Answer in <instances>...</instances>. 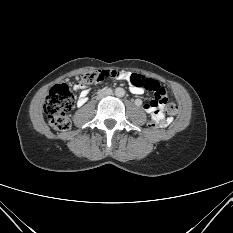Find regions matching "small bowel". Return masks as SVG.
<instances>
[{
    "mask_svg": "<svg viewBox=\"0 0 233 233\" xmlns=\"http://www.w3.org/2000/svg\"><path fill=\"white\" fill-rule=\"evenodd\" d=\"M131 73L128 72H116L114 70H108L105 71L103 73L100 74V79L101 80H106V79H118V80H125L129 82V77H130ZM74 89L75 90H79V97H78V105L82 106L86 103L87 101V97L89 94V90L87 88H85L81 83H76L74 85ZM130 90L133 94L135 95H141L143 93V89L142 88H137L134 87L130 84ZM137 103L140 105L141 101L137 100ZM143 109L151 114V118L155 115L158 114L160 116V118L163 121V125L162 126H167L169 124V120L166 118V116L163 114V109H164V104L160 103V104H154L153 101H151L150 103H145L143 104Z\"/></svg>",
    "mask_w": 233,
    "mask_h": 233,
    "instance_id": "1",
    "label": "small bowel"
}]
</instances>
